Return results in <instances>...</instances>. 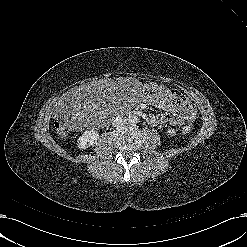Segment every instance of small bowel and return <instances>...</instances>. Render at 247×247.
Returning <instances> with one entry per match:
<instances>
[{
  "mask_svg": "<svg viewBox=\"0 0 247 247\" xmlns=\"http://www.w3.org/2000/svg\"><path fill=\"white\" fill-rule=\"evenodd\" d=\"M153 84L158 83L151 82L148 84V88ZM161 86L165 92L163 99L156 101L148 95L146 100L148 103L162 109L164 113L149 115L147 119L148 123L151 125L169 124L174 127L182 126L185 123H192L195 120L196 111L189 100L178 90L165 85Z\"/></svg>",
  "mask_w": 247,
  "mask_h": 247,
  "instance_id": "1",
  "label": "small bowel"
}]
</instances>
